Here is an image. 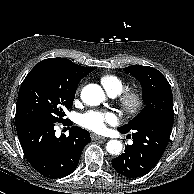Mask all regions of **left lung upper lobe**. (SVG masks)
<instances>
[{"mask_svg": "<svg viewBox=\"0 0 194 194\" xmlns=\"http://www.w3.org/2000/svg\"><path fill=\"white\" fill-rule=\"evenodd\" d=\"M142 84L145 107L128 124L120 127L130 130L139 120L151 116L174 115L171 86L157 69L149 66L132 65L123 69Z\"/></svg>", "mask_w": 194, "mask_h": 194, "instance_id": "obj_1", "label": "left lung upper lobe"}]
</instances>
